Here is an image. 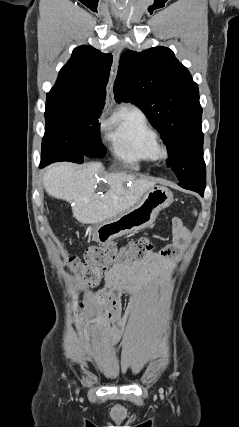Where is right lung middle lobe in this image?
<instances>
[{
    "label": "right lung middle lobe",
    "mask_w": 239,
    "mask_h": 427,
    "mask_svg": "<svg viewBox=\"0 0 239 427\" xmlns=\"http://www.w3.org/2000/svg\"><path fill=\"white\" fill-rule=\"evenodd\" d=\"M101 113L102 109L46 104L40 165L44 167L56 161L82 163L85 156L104 157L106 148L99 131Z\"/></svg>",
    "instance_id": "obj_1"
}]
</instances>
